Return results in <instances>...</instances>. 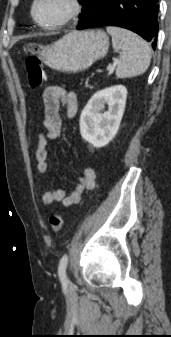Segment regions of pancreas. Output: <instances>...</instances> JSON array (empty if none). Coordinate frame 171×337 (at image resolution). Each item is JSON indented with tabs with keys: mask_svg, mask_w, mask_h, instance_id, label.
Listing matches in <instances>:
<instances>
[{
	"mask_svg": "<svg viewBox=\"0 0 171 337\" xmlns=\"http://www.w3.org/2000/svg\"><path fill=\"white\" fill-rule=\"evenodd\" d=\"M87 87H89V88H93L92 86H90V85H87Z\"/></svg>",
	"mask_w": 171,
	"mask_h": 337,
	"instance_id": "1",
	"label": "pancreas"
}]
</instances>
